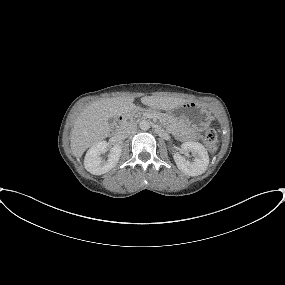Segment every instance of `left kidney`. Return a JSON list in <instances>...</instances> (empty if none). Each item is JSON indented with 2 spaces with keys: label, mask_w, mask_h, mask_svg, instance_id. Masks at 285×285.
Here are the masks:
<instances>
[{
  "label": "left kidney",
  "mask_w": 285,
  "mask_h": 285,
  "mask_svg": "<svg viewBox=\"0 0 285 285\" xmlns=\"http://www.w3.org/2000/svg\"><path fill=\"white\" fill-rule=\"evenodd\" d=\"M184 151H190L194 157L190 162L181 156L178 152L174 153V160L178 169L189 176H198L203 174L209 165V156L205 147L199 142L188 141L181 145Z\"/></svg>",
  "instance_id": "1"
}]
</instances>
